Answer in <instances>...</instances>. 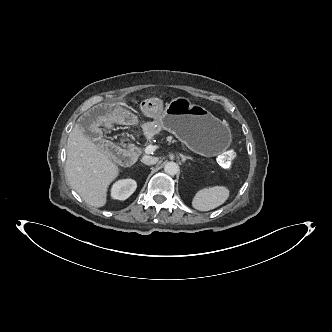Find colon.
Wrapping results in <instances>:
<instances>
[{
  "label": "colon",
  "mask_w": 332,
  "mask_h": 332,
  "mask_svg": "<svg viewBox=\"0 0 332 332\" xmlns=\"http://www.w3.org/2000/svg\"><path fill=\"white\" fill-rule=\"evenodd\" d=\"M99 147L107 153L115 151V146L108 140H102L99 143ZM236 152L233 149H229L222 153L219 157V161L221 166H223L226 169H229L233 166L235 160H236Z\"/></svg>",
  "instance_id": "obj_1"
}]
</instances>
